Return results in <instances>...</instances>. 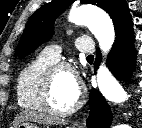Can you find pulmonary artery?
Returning <instances> with one entry per match:
<instances>
[{
	"mask_svg": "<svg viewBox=\"0 0 142 128\" xmlns=\"http://www.w3.org/2000/svg\"><path fill=\"white\" fill-rule=\"evenodd\" d=\"M75 46L77 48V50H79L82 53L85 54H93L95 51V47H94V43L93 41L86 36H80L76 39L75 41ZM41 54L54 61L57 62L60 58V54H61V48L58 45H49L46 46L42 51Z\"/></svg>",
	"mask_w": 142,
	"mask_h": 128,
	"instance_id": "pulmonary-artery-1",
	"label": "pulmonary artery"
}]
</instances>
